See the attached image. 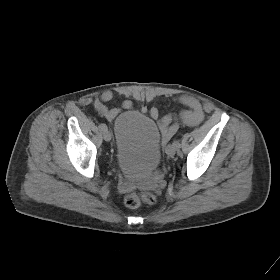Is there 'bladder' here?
<instances>
[{"label":"bladder","mask_w":280,"mask_h":280,"mask_svg":"<svg viewBox=\"0 0 280 280\" xmlns=\"http://www.w3.org/2000/svg\"><path fill=\"white\" fill-rule=\"evenodd\" d=\"M114 134L115 157L124 174L146 176L158 167L161 134L152 118L138 111H126L116 118Z\"/></svg>","instance_id":"obj_1"}]
</instances>
